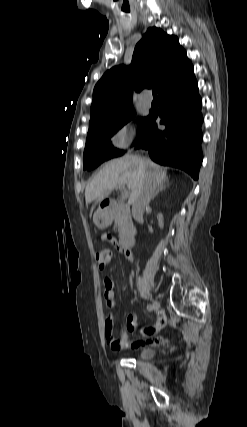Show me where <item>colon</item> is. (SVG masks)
<instances>
[{
    "mask_svg": "<svg viewBox=\"0 0 247 427\" xmlns=\"http://www.w3.org/2000/svg\"><path fill=\"white\" fill-rule=\"evenodd\" d=\"M112 253L109 249H100L95 253V259L101 269H104L111 261ZM109 334L112 335V329H110ZM113 336V335H112ZM113 344L116 349L122 350L127 349L132 346L130 340H128L125 336L120 338H114Z\"/></svg>",
    "mask_w": 247,
    "mask_h": 427,
    "instance_id": "obj_1",
    "label": "colon"
}]
</instances>
